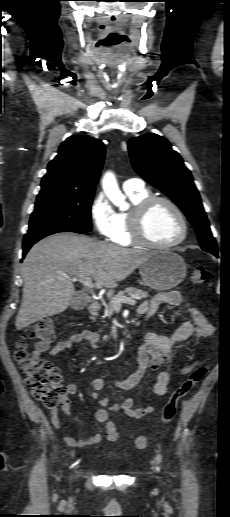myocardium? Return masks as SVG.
Listing matches in <instances>:
<instances>
[{"instance_id":"myocardium-1","label":"myocardium","mask_w":230,"mask_h":517,"mask_svg":"<svg viewBox=\"0 0 230 517\" xmlns=\"http://www.w3.org/2000/svg\"><path fill=\"white\" fill-rule=\"evenodd\" d=\"M156 203H164L168 205L179 217L182 224V233L181 235L174 241L168 243H158L151 240L147 234L145 229V221L146 217L150 211V209ZM130 226H131V237L133 241L141 246L150 247V248H158V249H168L173 248L179 244H181L188 236L189 232V224L188 220L180 209V207L173 202L171 199L164 196H149L142 200L140 203L134 206L131 215H130Z\"/></svg>"}]
</instances>
